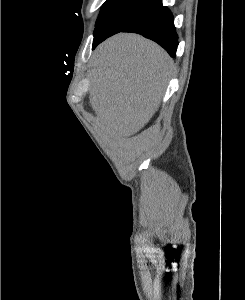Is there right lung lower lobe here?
Here are the masks:
<instances>
[{
    "label": "right lung lower lobe",
    "mask_w": 245,
    "mask_h": 300,
    "mask_svg": "<svg viewBox=\"0 0 245 300\" xmlns=\"http://www.w3.org/2000/svg\"><path fill=\"white\" fill-rule=\"evenodd\" d=\"M120 32L141 34L161 45L170 56H175L178 35L174 26V18L170 10L162 4ZM108 37L95 41L93 49Z\"/></svg>",
    "instance_id": "98d812e1"
}]
</instances>
